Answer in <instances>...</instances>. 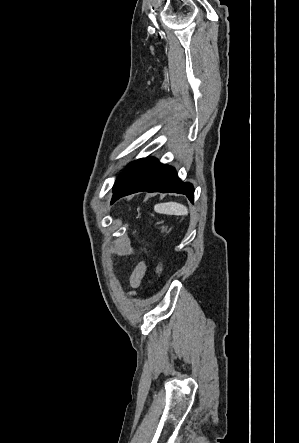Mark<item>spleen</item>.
Wrapping results in <instances>:
<instances>
[{"label":"spleen","mask_w":299,"mask_h":443,"mask_svg":"<svg viewBox=\"0 0 299 443\" xmlns=\"http://www.w3.org/2000/svg\"><path fill=\"white\" fill-rule=\"evenodd\" d=\"M155 212L167 215H188V208L177 202L160 203L154 206Z\"/></svg>","instance_id":"1"}]
</instances>
